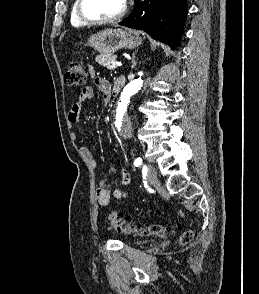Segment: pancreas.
Returning <instances> with one entry per match:
<instances>
[{"mask_svg":"<svg viewBox=\"0 0 259 294\" xmlns=\"http://www.w3.org/2000/svg\"><path fill=\"white\" fill-rule=\"evenodd\" d=\"M117 59V55L114 54H100L95 58V61L101 66L106 67L109 70H113L114 67L111 65L113 61Z\"/></svg>","mask_w":259,"mask_h":294,"instance_id":"1","label":"pancreas"}]
</instances>
